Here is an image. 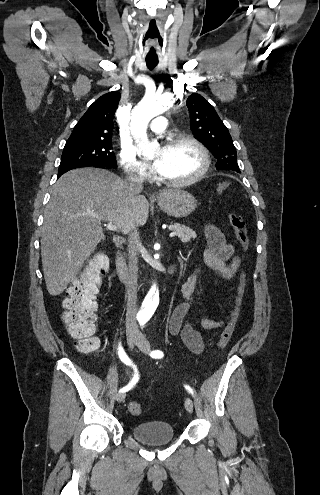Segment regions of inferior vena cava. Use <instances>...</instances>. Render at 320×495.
Instances as JSON below:
<instances>
[{"mask_svg": "<svg viewBox=\"0 0 320 495\" xmlns=\"http://www.w3.org/2000/svg\"><path fill=\"white\" fill-rule=\"evenodd\" d=\"M144 178L137 172L130 173L125 179L127 190L131 196L138 195L142 190ZM128 284H127V311H126V327L128 331L138 332L136 323L137 314V287H138V245L139 232L136 226H133L128 237Z\"/></svg>", "mask_w": 320, "mask_h": 495, "instance_id": "obj_1", "label": "inferior vena cava"}]
</instances>
